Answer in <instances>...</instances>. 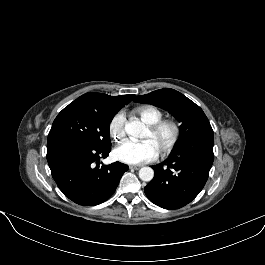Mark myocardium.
Returning a JSON list of instances; mask_svg holds the SVG:
<instances>
[{"label": "myocardium", "instance_id": "f54148a6", "mask_svg": "<svg viewBox=\"0 0 265 265\" xmlns=\"http://www.w3.org/2000/svg\"><path fill=\"white\" fill-rule=\"evenodd\" d=\"M164 128H170L171 137L169 141L158 151L160 155H166L171 152L179 142L181 136L180 126L173 119H161L156 123L148 125V130L152 135H157Z\"/></svg>", "mask_w": 265, "mask_h": 265}]
</instances>
